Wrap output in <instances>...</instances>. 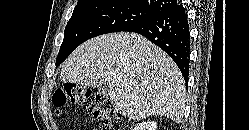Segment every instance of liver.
<instances>
[{"label":"liver","mask_w":249,"mask_h":130,"mask_svg":"<svg viewBox=\"0 0 249 130\" xmlns=\"http://www.w3.org/2000/svg\"><path fill=\"white\" fill-rule=\"evenodd\" d=\"M61 81L107 86L114 108L134 120L160 115L182 120L186 88L176 63L143 36L105 34L80 45L65 61Z\"/></svg>","instance_id":"1"}]
</instances>
